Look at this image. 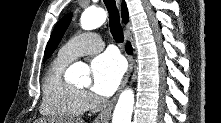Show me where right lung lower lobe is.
I'll list each match as a JSON object with an SVG mask.
<instances>
[{
	"mask_svg": "<svg viewBox=\"0 0 221 123\" xmlns=\"http://www.w3.org/2000/svg\"><path fill=\"white\" fill-rule=\"evenodd\" d=\"M126 50H127L128 53H131V52H132V48H131L130 43L127 44Z\"/></svg>",
	"mask_w": 221,
	"mask_h": 123,
	"instance_id": "1",
	"label": "right lung lower lobe"
}]
</instances>
